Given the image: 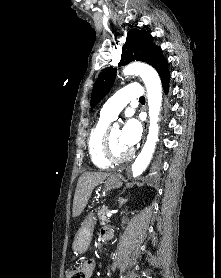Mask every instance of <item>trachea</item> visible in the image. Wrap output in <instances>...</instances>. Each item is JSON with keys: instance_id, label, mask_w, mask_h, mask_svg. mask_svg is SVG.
Masks as SVG:
<instances>
[{"instance_id": "obj_1", "label": "trachea", "mask_w": 221, "mask_h": 278, "mask_svg": "<svg viewBox=\"0 0 221 278\" xmlns=\"http://www.w3.org/2000/svg\"><path fill=\"white\" fill-rule=\"evenodd\" d=\"M139 101H145V97H141Z\"/></svg>"}]
</instances>
